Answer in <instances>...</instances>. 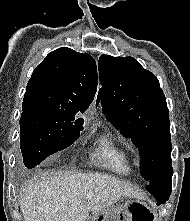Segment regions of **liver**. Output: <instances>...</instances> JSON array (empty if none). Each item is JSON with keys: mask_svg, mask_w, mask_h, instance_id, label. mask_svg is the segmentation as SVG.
Segmentation results:
<instances>
[{"mask_svg": "<svg viewBox=\"0 0 190 221\" xmlns=\"http://www.w3.org/2000/svg\"><path fill=\"white\" fill-rule=\"evenodd\" d=\"M93 192L92 198L87 194ZM122 196L138 197L129 183L107 174L46 171L21 195L25 221H86L117 203Z\"/></svg>", "mask_w": 190, "mask_h": 221, "instance_id": "1", "label": "liver"}]
</instances>
